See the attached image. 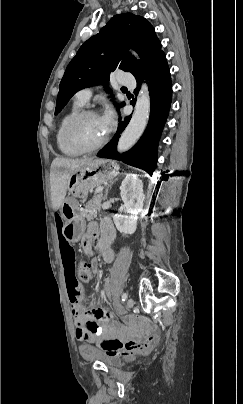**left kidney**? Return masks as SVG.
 I'll list each match as a JSON object with an SVG mask.
<instances>
[{
	"label": "left kidney",
	"instance_id": "1",
	"mask_svg": "<svg viewBox=\"0 0 243 404\" xmlns=\"http://www.w3.org/2000/svg\"><path fill=\"white\" fill-rule=\"evenodd\" d=\"M120 196L124 202L119 208V214H115L114 224L123 234H134L137 228L138 214L143 210L145 196L143 194V182L136 174H127L120 186Z\"/></svg>",
	"mask_w": 243,
	"mask_h": 404
}]
</instances>
